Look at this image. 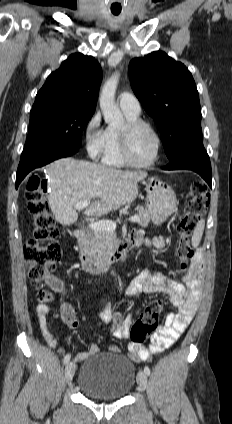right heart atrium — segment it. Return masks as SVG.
Here are the masks:
<instances>
[{
  "instance_id": "right-heart-atrium-1",
  "label": "right heart atrium",
  "mask_w": 232,
  "mask_h": 424,
  "mask_svg": "<svg viewBox=\"0 0 232 424\" xmlns=\"http://www.w3.org/2000/svg\"><path fill=\"white\" fill-rule=\"evenodd\" d=\"M86 150L93 159L103 155L106 145V130L101 128V115L95 112L86 122L83 129Z\"/></svg>"
}]
</instances>
